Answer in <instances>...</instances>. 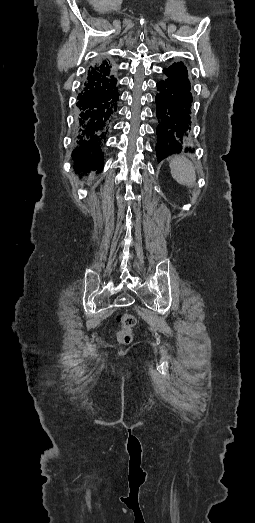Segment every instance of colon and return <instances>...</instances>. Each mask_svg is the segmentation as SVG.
Returning a JSON list of instances; mask_svg holds the SVG:
<instances>
[{
    "label": "colon",
    "instance_id": "1",
    "mask_svg": "<svg viewBox=\"0 0 255 523\" xmlns=\"http://www.w3.org/2000/svg\"><path fill=\"white\" fill-rule=\"evenodd\" d=\"M120 328L117 331V340L119 343L127 345L132 342L133 330L136 326V318L130 313H124L117 319Z\"/></svg>",
    "mask_w": 255,
    "mask_h": 523
}]
</instances>
